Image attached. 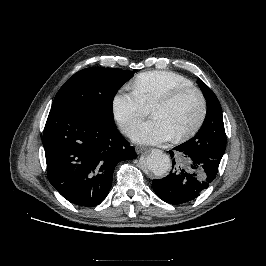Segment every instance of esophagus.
Here are the masks:
<instances>
[{"mask_svg": "<svg viewBox=\"0 0 266 266\" xmlns=\"http://www.w3.org/2000/svg\"><path fill=\"white\" fill-rule=\"evenodd\" d=\"M147 150V148H145V147H141V146H137V147H135V152L137 153V154H141V153H143L144 151H146Z\"/></svg>", "mask_w": 266, "mask_h": 266, "instance_id": "34e87169", "label": "esophagus"}]
</instances>
